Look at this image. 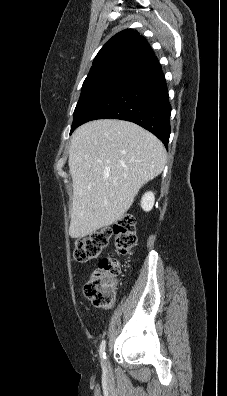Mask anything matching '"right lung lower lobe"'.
<instances>
[{
    "mask_svg": "<svg viewBox=\"0 0 227 396\" xmlns=\"http://www.w3.org/2000/svg\"><path fill=\"white\" fill-rule=\"evenodd\" d=\"M170 115L166 80L160 63L154 57L135 69L95 105L81 124L106 118L130 121L152 132L167 147Z\"/></svg>",
    "mask_w": 227,
    "mask_h": 396,
    "instance_id": "obj_1",
    "label": "right lung lower lobe"
}]
</instances>
